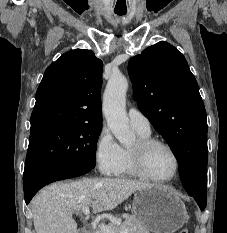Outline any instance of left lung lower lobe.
Returning a JSON list of instances; mask_svg holds the SVG:
<instances>
[{"mask_svg": "<svg viewBox=\"0 0 227 233\" xmlns=\"http://www.w3.org/2000/svg\"><path fill=\"white\" fill-rule=\"evenodd\" d=\"M191 196L194 197V199L197 202V204L199 205L200 209L204 210L206 207V202H207L206 197H202V196H199L196 194H192Z\"/></svg>", "mask_w": 227, "mask_h": 233, "instance_id": "obj_1", "label": "left lung lower lobe"}]
</instances>
